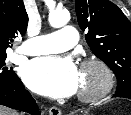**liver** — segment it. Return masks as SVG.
<instances>
[{
  "mask_svg": "<svg viewBox=\"0 0 131 115\" xmlns=\"http://www.w3.org/2000/svg\"><path fill=\"white\" fill-rule=\"evenodd\" d=\"M0 115H18V114L8 108L0 106Z\"/></svg>",
  "mask_w": 131,
  "mask_h": 115,
  "instance_id": "6515ba94",
  "label": "liver"
}]
</instances>
